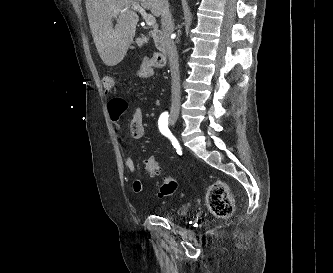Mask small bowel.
Wrapping results in <instances>:
<instances>
[{"label":"small bowel","mask_w":333,"mask_h":273,"mask_svg":"<svg viewBox=\"0 0 333 273\" xmlns=\"http://www.w3.org/2000/svg\"><path fill=\"white\" fill-rule=\"evenodd\" d=\"M147 59H145L144 62L140 63L139 70L137 71L138 77H153L154 62H145ZM104 85L105 87H107L106 80L104 81ZM108 112L113 122L114 128L116 129L117 132H119L121 130V124H120L121 117L123 114L128 113V105L126 102L123 101V96H112V101L108 103ZM129 132L131 137L136 140L143 138L145 134L143 111L139 105H137L134 109L129 124ZM119 140L122 143H124V138L122 136H119ZM148 159H154V158H148ZM125 165L130 173H134L136 171L135 161L128 152L125 153ZM132 189L136 193L142 192L144 189L142 179L140 178L134 179L132 183Z\"/></svg>","instance_id":"1"}]
</instances>
